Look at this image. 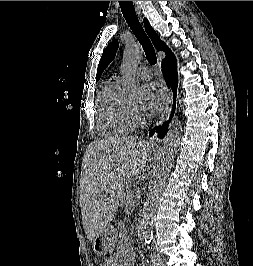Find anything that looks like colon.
I'll return each instance as SVG.
<instances>
[{"instance_id": "1", "label": "colon", "mask_w": 253, "mask_h": 266, "mask_svg": "<svg viewBox=\"0 0 253 266\" xmlns=\"http://www.w3.org/2000/svg\"><path fill=\"white\" fill-rule=\"evenodd\" d=\"M99 266H106V262L105 263H101Z\"/></svg>"}]
</instances>
